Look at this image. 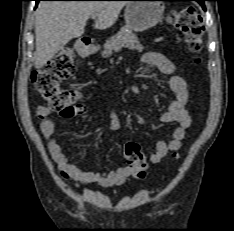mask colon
Instances as JSON below:
<instances>
[{
    "instance_id": "obj_1",
    "label": "colon",
    "mask_w": 234,
    "mask_h": 231,
    "mask_svg": "<svg viewBox=\"0 0 234 231\" xmlns=\"http://www.w3.org/2000/svg\"><path fill=\"white\" fill-rule=\"evenodd\" d=\"M167 20L183 34L193 52L200 50L204 28L193 7L173 11L168 15ZM75 73L74 53L70 49H63L32 74V83L51 109L62 112L75 106L81 97L78 90L60 86L61 81L69 79ZM124 157L133 167L134 176L143 178L146 174L147 162L139 144L127 143L124 147Z\"/></svg>"
}]
</instances>
